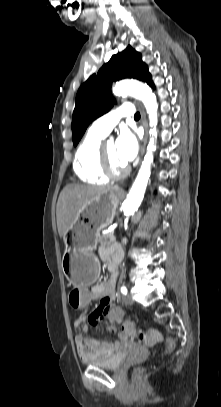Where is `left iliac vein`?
I'll use <instances>...</instances> for the list:
<instances>
[{"mask_svg":"<svg viewBox=\"0 0 221 407\" xmlns=\"http://www.w3.org/2000/svg\"><path fill=\"white\" fill-rule=\"evenodd\" d=\"M123 303L125 304V305H132L133 304V299H132V296L130 295V294H126L124 297H123Z\"/></svg>","mask_w":221,"mask_h":407,"instance_id":"obj_1","label":"left iliac vein"}]
</instances>
